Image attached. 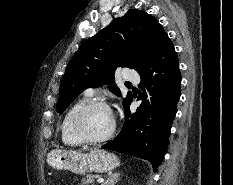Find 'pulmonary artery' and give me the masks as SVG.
<instances>
[{
    "label": "pulmonary artery",
    "mask_w": 233,
    "mask_h": 185,
    "mask_svg": "<svg viewBox=\"0 0 233 185\" xmlns=\"http://www.w3.org/2000/svg\"><path fill=\"white\" fill-rule=\"evenodd\" d=\"M124 77L126 80H128L129 82H133V83H138L140 81V77L137 73L130 71V70H126ZM86 96H92L94 94V90L93 89H87L85 92Z\"/></svg>",
    "instance_id": "1"
}]
</instances>
